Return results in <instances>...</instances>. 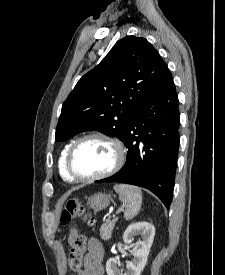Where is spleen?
Returning <instances> with one entry per match:
<instances>
[{"label": "spleen", "instance_id": "obj_1", "mask_svg": "<svg viewBox=\"0 0 225 275\" xmlns=\"http://www.w3.org/2000/svg\"><path fill=\"white\" fill-rule=\"evenodd\" d=\"M120 200L125 205L124 218L129 221L138 215L142 205V192L140 188L128 184L114 186Z\"/></svg>", "mask_w": 225, "mask_h": 275}]
</instances>
